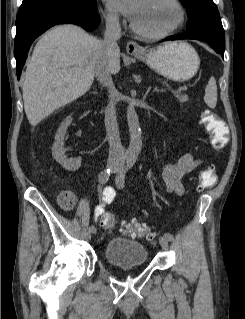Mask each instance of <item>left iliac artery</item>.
Masks as SVG:
<instances>
[{
	"label": "left iliac artery",
	"instance_id": "1",
	"mask_svg": "<svg viewBox=\"0 0 245 319\" xmlns=\"http://www.w3.org/2000/svg\"><path fill=\"white\" fill-rule=\"evenodd\" d=\"M134 163H135L134 159H132V158L128 159L127 164L125 166V169L122 170V172H121V180H120L121 188H123L124 185H125V174H126V172L133 167ZM164 237L167 238L169 241L173 240V235L171 233H165Z\"/></svg>",
	"mask_w": 245,
	"mask_h": 319
}]
</instances>
